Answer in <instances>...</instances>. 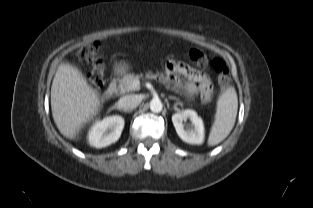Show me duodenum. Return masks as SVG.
<instances>
[{"label":"duodenum","mask_w":313,"mask_h":208,"mask_svg":"<svg viewBox=\"0 0 313 208\" xmlns=\"http://www.w3.org/2000/svg\"><path fill=\"white\" fill-rule=\"evenodd\" d=\"M115 90H116V83L111 82L105 90L106 97L110 98L114 94Z\"/></svg>","instance_id":"duodenum-1"}]
</instances>
